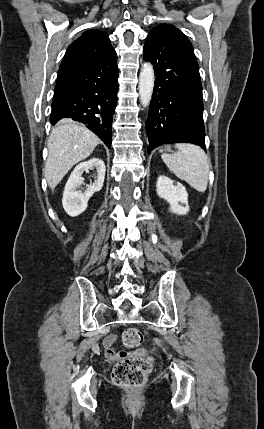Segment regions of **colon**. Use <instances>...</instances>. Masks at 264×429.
<instances>
[{
	"instance_id": "obj_1",
	"label": "colon",
	"mask_w": 264,
	"mask_h": 429,
	"mask_svg": "<svg viewBox=\"0 0 264 429\" xmlns=\"http://www.w3.org/2000/svg\"><path fill=\"white\" fill-rule=\"evenodd\" d=\"M122 342L126 348L133 349L142 344L143 335L137 328H128L123 332ZM151 368L152 358L139 353H125L113 367L111 378L117 386L139 388L145 384Z\"/></svg>"
}]
</instances>
